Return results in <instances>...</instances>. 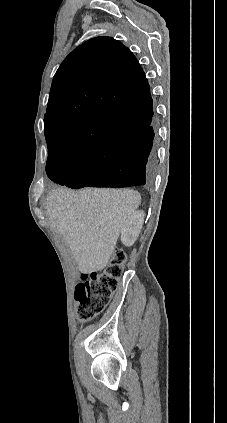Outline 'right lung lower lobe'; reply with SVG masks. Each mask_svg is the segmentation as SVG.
<instances>
[{
	"instance_id": "98d812e1",
	"label": "right lung lower lobe",
	"mask_w": 227,
	"mask_h": 423,
	"mask_svg": "<svg viewBox=\"0 0 227 423\" xmlns=\"http://www.w3.org/2000/svg\"><path fill=\"white\" fill-rule=\"evenodd\" d=\"M151 95L145 99L104 106L99 113L108 119L132 123L121 138L106 141L88 150L76 162L52 161L46 165L55 183L77 189L82 187L151 186L157 168V140L151 125Z\"/></svg>"
}]
</instances>
